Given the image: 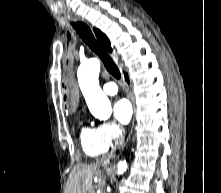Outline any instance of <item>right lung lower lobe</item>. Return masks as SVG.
Wrapping results in <instances>:
<instances>
[{
    "mask_svg": "<svg viewBox=\"0 0 221 193\" xmlns=\"http://www.w3.org/2000/svg\"><path fill=\"white\" fill-rule=\"evenodd\" d=\"M125 80H126L127 82H129V79H128V77H127V74H125Z\"/></svg>",
    "mask_w": 221,
    "mask_h": 193,
    "instance_id": "obj_1",
    "label": "right lung lower lobe"
}]
</instances>
